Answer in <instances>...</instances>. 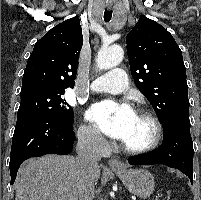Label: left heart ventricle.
Wrapping results in <instances>:
<instances>
[{"instance_id": "obj_1", "label": "left heart ventricle", "mask_w": 201, "mask_h": 200, "mask_svg": "<svg viewBox=\"0 0 201 200\" xmlns=\"http://www.w3.org/2000/svg\"><path fill=\"white\" fill-rule=\"evenodd\" d=\"M154 135L152 123L145 117L135 114L122 142L130 147L148 144Z\"/></svg>"}]
</instances>
